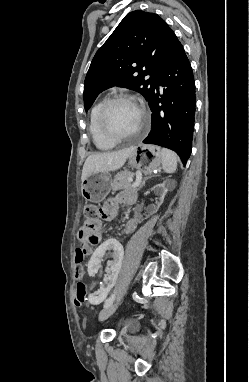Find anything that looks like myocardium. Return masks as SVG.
I'll return each mask as SVG.
<instances>
[{
    "instance_id": "obj_1",
    "label": "myocardium",
    "mask_w": 249,
    "mask_h": 382,
    "mask_svg": "<svg viewBox=\"0 0 249 382\" xmlns=\"http://www.w3.org/2000/svg\"><path fill=\"white\" fill-rule=\"evenodd\" d=\"M119 102H131L135 104L140 111L141 120H140L138 129L135 133L131 135H126V136L115 135L108 127V124H107L108 111L114 104ZM98 121H99V128L103 136L113 143H119L122 141H127V140H131L138 137L147 128L148 115L146 111L144 110V108L141 107L132 97H129L126 95H117V96L109 98L108 100L104 102L99 112Z\"/></svg>"
}]
</instances>
